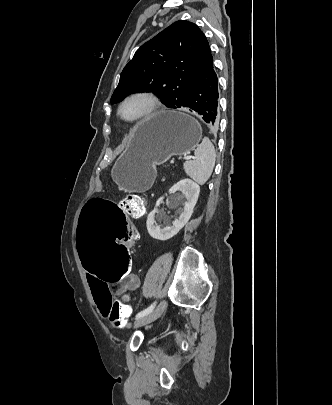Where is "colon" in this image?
I'll return each mask as SVG.
<instances>
[{"mask_svg":"<svg viewBox=\"0 0 332 405\" xmlns=\"http://www.w3.org/2000/svg\"><path fill=\"white\" fill-rule=\"evenodd\" d=\"M121 207L130 212L142 214L145 211L143 199L129 195ZM118 202L110 197H89L81 220H75L78 257L86 275H99L100 281H124L130 275L131 249H136L138 227L135 220H129V211H121ZM133 308L118 300H112L107 308V318L114 327L129 323ZM155 332V327H150Z\"/></svg>","mask_w":332,"mask_h":405,"instance_id":"colon-1","label":"colon"}]
</instances>
